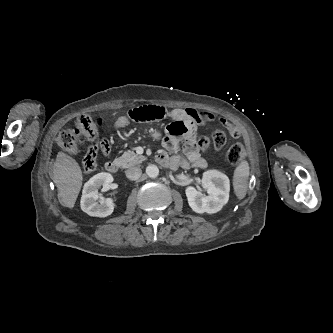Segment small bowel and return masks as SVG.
Wrapping results in <instances>:
<instances>
[{
	"mask_svg": "<svg viewBox=\"0 0 333 333\" xmlns=\"http://www.w3.org/2000/svg\"><path fill=\"white\" fill-rule=\"evenodd\" d=\"M180 114L182 121L189 127H193V123L206 124L210 121L216 120L224 125V128L231 134L233 138H236L238 136L237 131L226 118H218L209 112L196 110H185ZM130 123L131 122H128L125 119H119L113 127L117 129ZM182 136V151L185 157H181L179 155H169V153H176L180 150L181 138L180 135L171 133L168 130V134L163 142L166 151L161 152L158 155V162L172 169H188L190 167L205 168L207 166V162L201 156L200 149L194 141L193 134L189 133Z\"/></svg>",
	"mask_w": 333,
	"mask_h": 333,
	"instance_id": "obj_1",
	"label": "small bowel"
}]
</instances>
